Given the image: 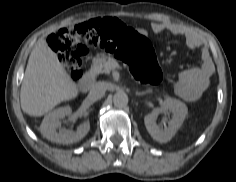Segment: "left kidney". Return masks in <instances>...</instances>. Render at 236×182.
<instances>
[{
  "label": "left kidney",
  "mask_w": 236,
  "mask_h": 182,
  "mask_svg": "<svg viewBox=\"0 0 236 182\" xmlns=\"http://www.w3.org/2000/svg\"><path fill=\"white\" fill-rule=\"evenodd\" d=\"M163 112H171L173 116L168 122V126L161 129L156 124V120L158 115ZM187 113V106L183 102L174 98L166 97L160 108L154 109L144 117V123L148 133L154 140L160 143H165L170 141L176 134L177 130L184 122Z\"/></svg>",
  "instance_id": "1"
}]
</instances>
